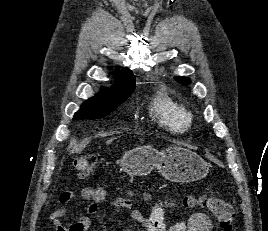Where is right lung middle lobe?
I'll return each mask as SVG.
<instances>
[{"mask_svg": "<svg viewBox=\"0 0 268 231\" xmlns=\"http://www.w3.org/2000/svg\"><path fill=\"white\" fill-rule=\"evenodd\" d=\"M123 103V102H122ZM105 104L100 102H93L83 104L78 112L74 115V120L78 119H98L107 116L114 111L120 104Z\"/></svg>", "mask_w": 268, "mask_h": 231, "instance_id": "1", "label": "right lung middle lobe"}]
</instances>
